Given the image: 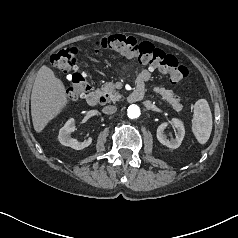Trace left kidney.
<instances>
[{
	"label": "left kidney",
	"mask_w": 238,
	"mask_h": 238,
	"mask_svg": "<svg viewBox=\"0 0 238 238\" xmlns=\"http://www.w3.org/2000/svg\"><path fill=\"white\" fill-rule=\"evenodd\" d=\"M169 124H171L174 127V129H176L175 139H172V140H169L167 138V135L164 132ZM184 135H185V129H184L183 122L177 118H173L169 122H164L160 124L157 128V139L159 140L160 143H162L163 145L169 148H173V149L178 148L182 143Z\"/></svg>",
	"instance_id": "obj_1"
}]
</instances>
